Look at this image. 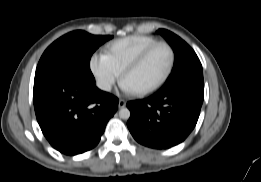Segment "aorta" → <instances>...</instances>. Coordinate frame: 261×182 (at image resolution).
I'll use <instances>...</instances> for the list:
<instances>
[{
	"instance_id": "762f6f07",
	"label": "aorta",
	"mask_w": 261,
	"mask_h": 182,
	"mask_svg": "<svg viewBox=\"0 0 261 182\" xmlns=\"http://www.w3.org/2000/svg\"><path fill=\"white\" fill-rule=\"evenodd\" d=\"M130 115H131V113H130V110L128 108H122L119 111V117L121 119L127 120V119H129Z\"/></svg>"
}]
</instances>
